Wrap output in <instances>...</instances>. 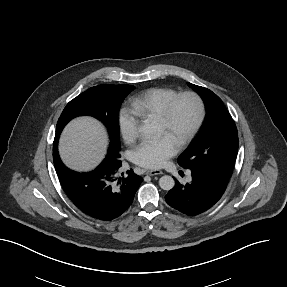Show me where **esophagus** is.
Listing matches in <instances>:
<instances>
[{"label": "esophagus", "mask_w": 287, "mask_h": 287, "mask_svg": "<svg viewBox=\"0 0 287 287\" xmlns=\"http://www.w3.org/2000/svg\"><path fill=\"white\" fill-rule=\"evenodd\" d=\"M145 173L150 176L163 174L160 170H147Z\"/></svg>", "instance_id": "34e87169"}]
</instances>
